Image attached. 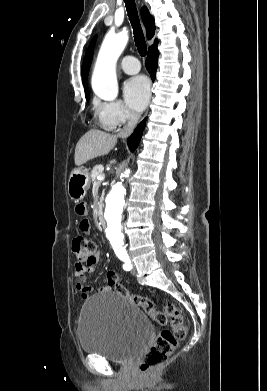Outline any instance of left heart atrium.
I'll return each instance as SVG.
<instances>
[{"mask_svg":"<svg viewBox=\"0 0 267 391\" xmlns=\"http://www.w3.org/2000/svg\"><path fill=\"white\" fill-rule=\"evenodd\" d=\"M127 104L134 111H142L150 98V84L146 77L136 76L129 79L124 86Z\"/></svg>","mask_w":267,"mask_h":391,"instance_id":"39dd6f15","label":"left heart atrium"}]
</instances>
